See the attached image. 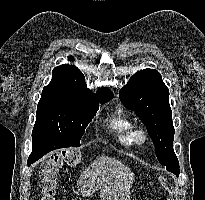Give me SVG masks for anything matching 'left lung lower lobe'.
<instances>
[{
	"label": "left lung lower lobe",
	"mask_w": 205,
	"mask_h": 200,
	"mask_svg": "<svg viewBox=\"0 0 205 200\" xmlns=\"http://www.w3.org/2000/svg\"><path fill=\"white\" fill-rule=\"evenodd\" d=\"M166 169L174 174H176V176L179 175V163H174L173 166L171 165H165Z\"/></svg>",
	"instance_id": "left-lung-lower-lobe-1"
}]
</instances>
